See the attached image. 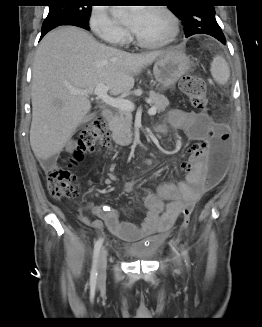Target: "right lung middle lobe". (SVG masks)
<instances>
[{
	"label": "right lung middle lobe",
	"mask_w": 262,
	"mask_h": 327,
	"mask_svg": "<svg viewBox=\"0 0 262 327\" xmlns=\"http://www.w3.org/2000/svg\"><path fill=\"white\" fill-rule=\"evenodd\" d=\"M59 1H67V3L49 6V13L43 25L64 19H74L88 23L92 6L78 5L73 2L74 0Z\"/></svg>",
	"instance_id": "obj_1"
}]
</instances>
